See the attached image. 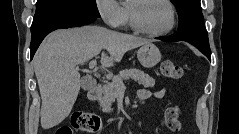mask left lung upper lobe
I'll use <instances>...</instances> for the list:
<instances>
[{
    "label": "left lung upper lobe",
    "instance_id": "5c2ea615",
    "mask_svg": "<svg viewBox=\"0 0 239 134\" xmlns=\"http://www.w3.org/2000/svg\"><path fill=\"white\" fill-rule=\"evenodd\" d=\"M179 15V27L177 32H207L204 26V17L201 12L200 0H171Z\"/></svg>",
    "mask_w": 239,
    "mask_h": 134
}]
</instances>
